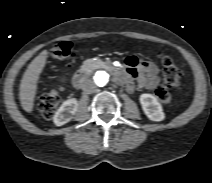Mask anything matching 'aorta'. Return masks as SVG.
Here are the masks:
<instances>
[{
  "instance_id": "aorta-1",
  "label": "aorta",
  "mask_w": 212,
  "mask_h": 183,
  "mask_svg": "<svg viewBox=\"0 0 212 183\" xmlns=\"http://www.w3.org/2000/svg\"><path fill=\"white\" fill-rule=\"evenodd\" d=\"M110 74L107 71L100 70L96 71L91 75L90 81L98 87L106 86L110 81Z\"/></svg>"
}]
</instances>
